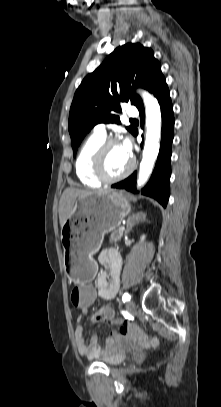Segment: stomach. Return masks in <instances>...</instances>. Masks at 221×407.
I'll use <instances>...</instances> for the list:
<instances>
[{
	"instance_id": "stomach-1",
	"label": "stomach",
	"mask_w": 221,
	"mask_h": 407,
	"mask_svg": "<svg viewBox=\"0 0 221 407\" xmlns=\"http://www.w3.org/2000/svg\"><path fill=\"white\" fill-rule=\"evenodd\" d=\"M131 211L123 192L112 189L79 197L61 228L64 267L74 283L91 281L97 271L93 259L104 235L120 226Z\"/></svg>"
}]
</instances>
